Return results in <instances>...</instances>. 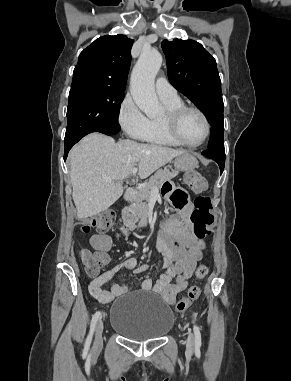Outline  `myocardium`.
Returning a JSON list of instances; mask_svg holds the SVG:
<instances>
[{
    "label": "myocardium",
    "mask_w": 291,
    "mask_h": 381,
    "mask_svg": "<svg viewBox=\"0 0 291 381\" xmlns=\"http://www.w3.org/2000/svg\"><path fill=\"white\" fill-rule=\"evenodd\" d=\"M188 111H193V112L198 113L201 116V118L203 119L204 125H205V133H204L203 138L198 143H195V144H190V143H187L186 141H184L182 139V137L180 136V133L178 130V124H179L180 118L182 117V115L184 113H186ZM162 120H163V124H164L165 130L168 133V135L175 142H177L179 145L184 146V147L197 148V147L203 145L210 135V122H209L207 115L200 108L195 107V106L183 104V105L178 106L176 108L168 109L164 113Z\"/></svg>",
    "instance_id": "myocardium-1"
}]
</instances>
